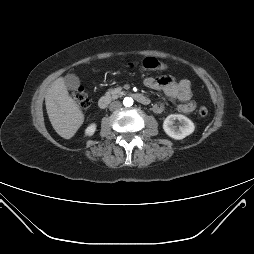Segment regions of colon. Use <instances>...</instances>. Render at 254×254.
Segmentation results:
<instances>
[{
	"mask_svg": "<svg viewBox=\"0 0 254 254\" xmlns=\"http://www.w3.org/2000/svg\"><path fill=\"white\" fill-rule=\"evenodd\" d=\"M140 66L146 70H164L165 64L154 57H147L140 62ZM72 97L75 103L83 110L90 106V99L83 88L79 87L72 93ZM198 114L205 117L208 114V109L205 106H201L198 109Z\"/></svg>",
	"mask_w": 254,
	"mask_h": 254,
	"instance_id": "obj_1",
	"label": "colon"
}]
</instances>
